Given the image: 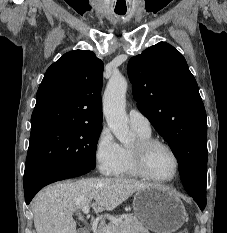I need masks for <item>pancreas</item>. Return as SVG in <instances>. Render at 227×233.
<instances>
[{
  "mask_svg": "<svg viewBox=\"0 0 227 233\" xmlns=\"http://www.w3.org/2000/svg\"><path fill=\"white\" fill-rule=\"evenodd\" d=\"M109 227L113 233H148L147 228L134 215H127L119 225L111 223Z\"/></svg>",
  "mask_w": 227,
  "mask_h": 233,
  "instance_id": "1",
  "label": "pancreas"
}]
</instances>
